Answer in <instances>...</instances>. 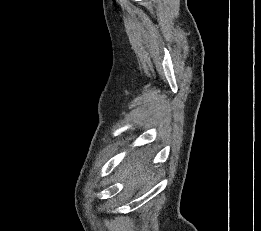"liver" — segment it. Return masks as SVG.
<instances>
[{"label":"liver","instance_id":"obj_1","mask_svg":"<svg viewBox=\"0 0 261 231\" xmlns=\"http://www.w3.org/2000/svg\"><path fill=\"white\" fill-rule=\"evenodd\" d=\"M120 171L122 179L127 182L128 186L137 185L142 180L148 179V175L145 174V166H142L140 163H125L120 168Z\"/></svg>","mask_w":261,"mask_h":231}]
</instances>
